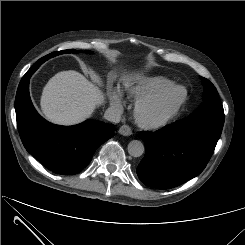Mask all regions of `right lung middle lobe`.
I'll return each mask as SVG.
<instances>
[{
  "label": "right lung middle lobe",
  "instance_id": "obj_1",
  "mask_svg": "<svg viewBox=\"0 0 245 245\" xmlns=\"http://www.w3.org/2000/svg\"><path fill=\"white\" fill-rule=\"evenodd\" d=\"M63 53H77L76 50H64V51H57V52H54V53H51L45 57H43L42 59H40L37 63L39 65H41L45 60L49 59L50 57H53V56H56V55H59V54H63Z\"/></svg>",
  "mask_w": 245,
  "mask_h": 245
}]
</instances>
